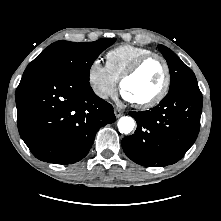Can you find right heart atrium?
Returning a JSON list of instances; mask_svg holds the SVG:
<instances>
[{"instance_id": "1", "label": "right heart atrium", "mask_w": 221, "mask_h": 221, "mask_svg": "<svg viewBox=\"0 0 221 221\" xmlns=\"http://www.w3.org/2000/svg\"><path fill=\"white\" fill-rule=\"evenodd\" d=\"M86 80L92 93L101 100L115 98L118 93L117 80L109 73L99 58L93 59L86 73Z\"/></svg>"}]
</instances>
